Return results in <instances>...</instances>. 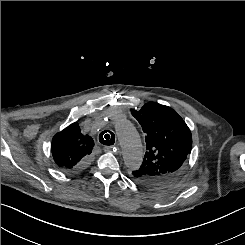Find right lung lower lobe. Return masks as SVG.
<instances>
[{
    "label": "right lung lower lobe",
    "instance_id": "right-lung-lower-lobe-1",
    "mask_svg": "<svg viewBox=\"0 0 245 245\" xmlns=\"http://www.w3.org/2000/svg\"><path fill=\"white\" fill-rule=\"evenodd\" d=\"M89 163V160L88 158L85 159L84 161H82L78 166H76L73 170L69 171V172H78V171H81L83 170L85 167H87Z\"/></svg>",
    "mask_w": 245,
    "mask_h": 245
}]
</instances>
